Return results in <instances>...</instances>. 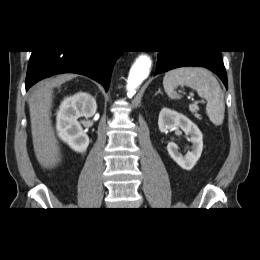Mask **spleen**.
<instances>
[{
    "label": "spleen",
    "mask_w": 260,
    "mask_h": 260,
    "mask_svg": "<svg viewBox=\"0 0 260 260\" xmlns=\"http://www.w3.org/2000/svg\"><path fill=\"white\" fill-rule=\"evenodd\" d=\"M179 85H187L207 100L206 114L210 121L219 126L225 113L224 94L217 79L206 69L183 67L167 72L163 78V87L171 99H180L175 91Z\"/></svg>",
    "instance_id": "3e777b00"
}]
</instances>
